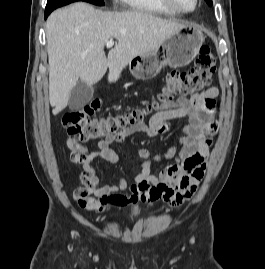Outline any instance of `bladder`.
Here are the masks:
<instances>
[{"instance_id":"1","label":"bladder","mask_w":265,"mask_h":269,"mask_svg":"<svg viewBox=\"0 0 265 269\" xmlns=\"http://www.w3.org/2000/svg\"><path fill=\"white\" fill-rule=\"evenodd\" d=\"M131 216H132V217L136 216V213H132Z\"/></svg>"}]
</instances>
